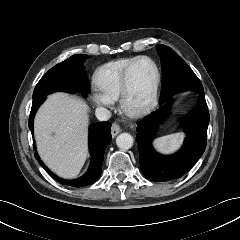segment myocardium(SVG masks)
Returning <instances> with one entry per match:
<instances>
[{
	"instance_id": "1",
	"label": "myocardium",
	"mask_w": 240,
	"mask_h": 240,
	"mask_svg": "<svg viewBox=\"0 0 240 240\" xmlns=\"http://www.w3.org/2000/svg\"><path fill=\"white\" fill-rule=\"evenodd\" d=\"M142 60H148L150 61L155 68L156 71V78H155V83L153 86L152 91L148 95V97L139 104L132 105L130 103V96H131V75L133 72V69L137 65L138 62ZM161 82H162V74H161V69L158 63L151 57L142 55L137 57L126 69L123 79H122V86H121V92L119 96V106L121 111L132 118H137L141 117L148 112H150L154 106L156 105L159 95H160V90H161Z\"/></svg>"
}]
</instances>
